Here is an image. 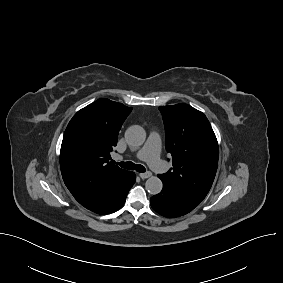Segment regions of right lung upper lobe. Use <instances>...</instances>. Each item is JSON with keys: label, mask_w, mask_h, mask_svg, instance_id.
Segmentation results:
<instances>
[{"label": "right lung upper lobe", "mask_w": 283, "mask_h": 283, "mask_svg": "<svg viewBox=\"0 0 283 283\" xmlns=\"http://www.w3.org/2000/svg\"><path fill=\"white\" fill-rule=\"evenodd\" d=\"M131 110L99 99L79 110L65 130L60 151L62 177L74 198L87 209L109 198L130 174L109 159Z\"/></svg>", "instance_id": "1"}]
</instances>
